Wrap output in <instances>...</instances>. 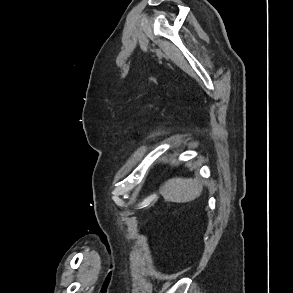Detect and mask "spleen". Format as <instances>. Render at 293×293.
Returning a JSON list of instances; mask_svg holds the SVG:
<instances>
[{"label": "spleen", "mask_w": 293, "mask_h": 293, "mask_svg": "<svg viewBox=\"0 0 293 293\" xmlns=\"http://www.w3.org/2000/svg\"><path fill=\"white\" fill-rule=\"evenodd\" d=\"M202 189L198 179L172 178L160 188V193L166 201L186 203L199 197Z\"/></svg>", "instance_id": "spleen-1"}]
</instances>
